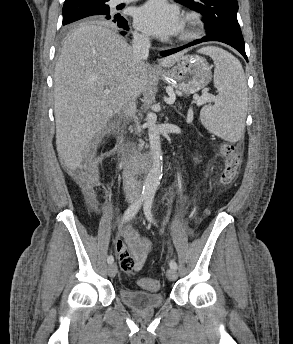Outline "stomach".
Here are the masks:
<instances>
[{
  "instance_id": "stomach-1",
  "label": "stomach",
  "mask_w": 293,
  "mask_h": 344,
  "mask_svg": "<svg viewBox=\"0 0 293 344\" xmlns=\"http://www.w3.org/2000/svg\"><path fill=\"white\" fill-rule=\"evenodd\" d=\"M160 77L185 95L204 88L211 80V69L206 60L198 55H183L176 65L159 72Z\"/></svg>"
}]
</instances>
